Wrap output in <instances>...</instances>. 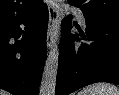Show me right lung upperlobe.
I'll list each match as a JSON object with an SVG mask.
<instances>
[{
    "label": "right lung upper lobe",
    "mask_w": 119,
    "mask_h": 95,
    "mask_svg": "<svg viewBox=\"0 0 119 95\" xmlns=\"http://www.w3.org/2000/svg\"><path fill=\"white\" fill-rule=\"evenodd\" d=\"M42 0H0V29L30 17Z\"/></svg>",
    "instance_id": "1"
}]
</instances>
